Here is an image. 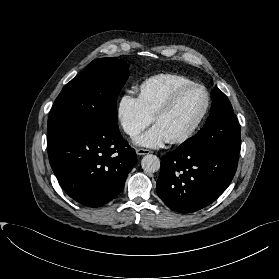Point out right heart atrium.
<instances>
[{
  "mask_svg": "<svg viewBox=\"0 0 279 279\" xmlns=\"http://www.w3.org/2000/svg\"><path fill=\"white\" fill-rule=\"evenodd\" d=\"M116 119L123 132L131 138L136 137L152 122V117L143 108L139 97L129 93L119 97Z\"/></svg>",
  "mask_w": 279,
  "mask_h": 279,
  "instance_id": "right-heart-atrium-1",
  "label": "right heart atrium"
}]
</instances>
